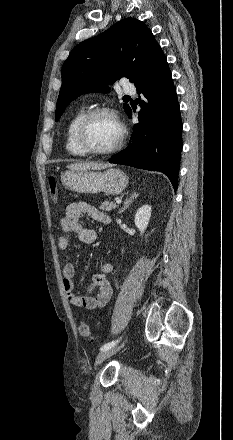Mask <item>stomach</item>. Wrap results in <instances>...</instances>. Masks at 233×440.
<instances>
[{
	"label": "stomach",
	"mask_w": 233,
	"mask_h": 440,
	"mask_svg": "<svg viewBox=\"0 0 233 440\" xmlns=\"http://www.w3.org/2000/svg\"><path fill=\"white\" fill-rule=\"evenodd\" d=\"M62 184L69 190L78 193L118 195L128 184L127 175L120 169L109 168L104 172L86 170H69L61 176Z\"/></svg>",
	"instance_id": "0dacf381"
}]
</instances>
